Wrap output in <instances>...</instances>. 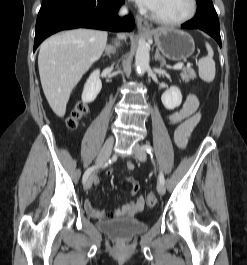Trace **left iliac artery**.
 <instances>
[{"instance_id": "left-iliac-artery-1", "label": "left iliac artery", "mask_w": 247, "mask_h": 265, "mask_svg": "<svg viewBox=\"0 0 247 265\" xmlns=\"http://www.w3.org/2000/svg\"><path fill=\"white\" fill-rule=\"evenodd\" d=\"M142 148H143L145 151H147V153L150 154L151 157H153V155H152V153H153V148H152L151 145H149V144H145V145L142 146ZM159 181H160V183H162V184L165 183V179H164V175H163L162 171H160V173H159Z\"/></svg>"}]
</instances>
